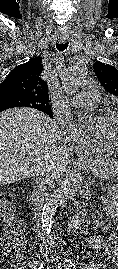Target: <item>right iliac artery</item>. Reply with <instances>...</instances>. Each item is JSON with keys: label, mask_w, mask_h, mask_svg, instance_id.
<instances>
[{"label": "right iliac artery", "mask_w": 118, "mask_h": 269, "mask_svg": "<svg viewBox=\"0 0 118 269\" xmlns=\"http://www.w3.org/2000/svg\"><path fill=\"white\" fill-rule=\"evenodd\" d=\"M38 264V263H37ZM43 265H44V263H39V265H38V269H42L43 268Z\"/></svg>", "instance_id": "82829eb1"}]
</instances>
